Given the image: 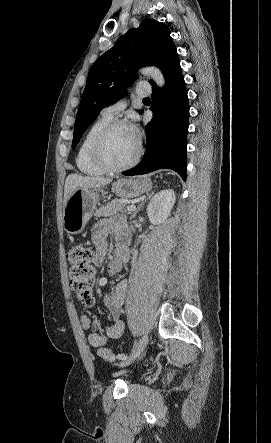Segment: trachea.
Segmentation results:
<instances>
[{"label":"trachea","mask_w":271,"mask_h":443,"mask_svg":"<svg viewBox=\"0 0 271 443\" xmlns=\"http://www.w3.org/2000/svg\"><path fill=\"white\" fill-rule=\"evenodd\" d=\"M147 100H150V98H144V99H143V101H147Z\"/></svg>","instance_id":"1"}]
</instances>
